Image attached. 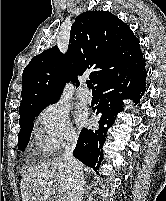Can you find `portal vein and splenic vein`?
I'll return each mask as SVG.
<instances>
[{
	"instance_id": "portal-vein-and-splenic-vein-1",
	"label": "portal vein and splenic vein",
	"mask_w": 166,
	"mask_h": 201,
	"mask_svg": "<svg viewBox=\"0 0 166 201\" xmlns=\"http://www.w3.org/2000/svg\"><path fill=\"white\" fill-rule=\"evenodd\" d=\"M51 193H55V191H51V190H49V191L46 193V198H47L48 195L51 194Z\"/></svg>"
}]
</instances>
